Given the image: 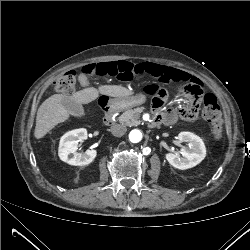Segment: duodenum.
<instances>
[{
    "label": "duodenum",
    "mask_w": 250,
    "mask_h": 250,
    "mask_svg": "<svg viewBox=\"0 0 250 250\" xmlns=\"http://www.w3.org/2000/svg\"><path fill=\"white\" fill-rule=\"evenodd\" d=\"M101 108L103 111V120L104 123L107 125H112L114 123V114H115V109L114 107L107 101H102L101 102ZM161 123L158 117H152L149 120V125L151 127H156Z\"/></svg>",
    "instance_id": "410a0bca"
}]
</instances>
